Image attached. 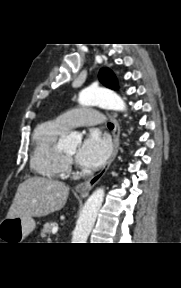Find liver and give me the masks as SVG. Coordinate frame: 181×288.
<instances>
[{"instance_id": "obj_1", "label": "liver", "mask_w": 181, "mask_h": 288, "mask_svg": "<svg viewBox=\"0 0 181 288\" xmlns=\"http://www.w3.org/2000/svg\"><path fill=\"white\" fill-rule=\"evenodd\" d=\"M69 187L44 177H29L19 184L7 218L43 217L60 210L66 203Z\"/></svg>"}]
</instances>
